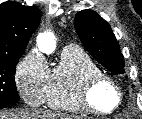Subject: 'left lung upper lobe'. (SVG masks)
Instances as JSON below:
<instances>
[{
    "label": "left lung upper lobe",
    "mask_w": 142,
    "mask_h": 119,
    "mask_svg": "<svg viewBox=\"0 0 142 119\" xmlns=\"http://www.w3.org/2000/svg\"><path fill=\"white\" fill-rule=\"evenodd\" d=\"M74 24L87 51L113 74H124V57L110 25L93 10L78 12Z\"/></svg>",
    "instance_id": "5c2ea615"
}]
</instances>
